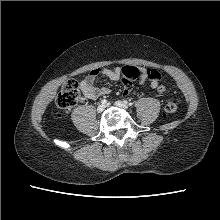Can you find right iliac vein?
I'll return each mask as SVG.
<instances>
[{
  "mask_svg": "<svg viewBox=\"0 0 220 220\" xmlns=\"http://www.w3.org/2000/svg\"><path fill=\"white\" fill-rule=\"evenodd\" d=\"M105 109V105L104 104H99L98 107H97V112L98 113H101L103 112Z\"/></svg>",
  "mask_w": 220,
  "mask_h": 220,
  "instance_id": "right-iliac-vein-1",
  "label": "right iliac vein"
}]
</instances>
